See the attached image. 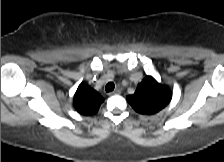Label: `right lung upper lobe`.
Returning a JSON list of instances; mask_svg holds the SVG:
<instances>
[{
	"label": "right lung upper lobe",
	"mask_w": 224,
	"mask_h": 162,
	"mask_svg": "<svg viewBox=\"0 0 224 162\" xmlns=\"http://www.w3.org/2000/svg\"><path fill=\"white\" fill-rule=\"evenodd\" d=\"M103 97L85 83H81L74 95V107L82 115L97 113Z\"/></svg>",
	"instance_id": "1"
}]
</instances>
